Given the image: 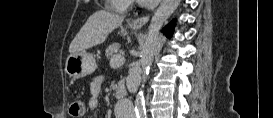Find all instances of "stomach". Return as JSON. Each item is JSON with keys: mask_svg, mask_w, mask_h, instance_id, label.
Wrapping results in <instances>:
<instances>
[{"mask_svg": "<svg viewBox=\"0 0 273 118\" xmlns=\"http://www.w3.org/2000/svg\"><path fill=\"white\" fill-rule=\"evenodd\" d=\"M96 68L97 63L95 57L86 50L70 54L65 64L66 73L73 79H80L90 75Z\"/></svg>", "mask_w": 273, "mask_h": 118, "instance_id": "0dacf381", "label": "stomach"}]
</instances>
